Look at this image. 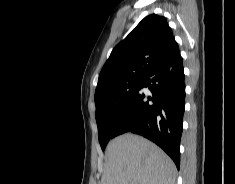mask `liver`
Segmentation results:
<instances>
[{
    "label": "liver",
    "mask_w": 235,
    "mask_h": 184,
    "mask_svg": "<svg viewBox=\"0 0 235 184\" xmlns=\"http://www.w3.org/2000/svg\"><path fill=\"white\" fill-rule=\"evenodd\" d=\"M107 168L101 184H175L176 168L158 146L123 134L106 148Z\"/></svg>",
    "instance_id": "liver-1"
}]
</instances>
